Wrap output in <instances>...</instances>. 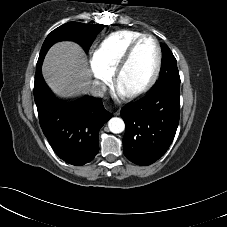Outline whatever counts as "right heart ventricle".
<instances>
[{
  "mask_svg": "<svg viewBox=\"0 0 227 227\" xmlns=\"http://www.w3.org/2000/svg\"><path fill=\"white\" fill-rule=\"evenodd\" d=\"M140 35L141 32L134 30H120L109 34L95 50L96 60L106 71L113 74L128 46Z\"/></svg>",
  "mask_w": 227,
  "mask_h": 227,
  "instance_id": "e07e8e85",
  "label": "right heart ventricle"
}]
</instances>
